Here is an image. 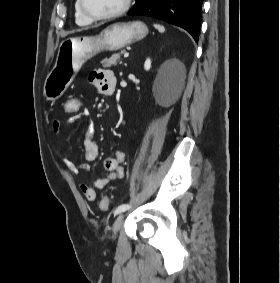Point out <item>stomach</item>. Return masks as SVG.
<instances>
[{"instance_id": "obj_1", "label": "stomach", "mask_w": 280, "mask_h": 283, "mask_svg": "<svg viewBox=\"0 0 280 283\" xmlns=\"http://www.w3.org/2000/svg\"><path fill=\"white\" fill-rule=\"evenodd\" d=\"M148 34L141 21L114 23L96 36L69 37L59 45L55 65L44 83V96L55 101L75 78L82 65L102 51H117Z\"/></svg>"}]
</instances>
